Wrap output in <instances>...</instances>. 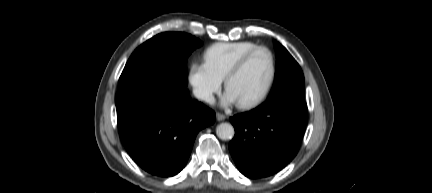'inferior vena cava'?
I'll return each instance as SVG.
<instances>
[{"mask_svg": "<svg viewBox=\"0 0 432 193\" xmlns=\"http://www.w3.org/2000/svg\"><path fill=\"white\" fill-rule=\"evenodd\" d=\"M193 94L195 97H197L201 100H204L208 103H214L215 102V98H214L213 94L206 89L196 88L193 90Z\"/></svg>", "mask_w": 432, "mask_h": 193, "instance_id": "1", "label": "inferior vena cava"}]
</instances>
